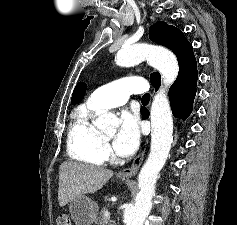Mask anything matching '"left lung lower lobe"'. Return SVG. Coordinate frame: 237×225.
<instances>
[{"instance_id": "obj_1", "label": "left lung lower lobe", "mask_w": 237, "mask_h": 225, "mask_svg": "<svg viewBox=\"0 0 237 225\" xmlns=\"http://www.w3.org/2000/svg\"><path fill=\"white\" fill-rule=\"evenodd\" d=\"M197 74L181 75L177 77L169 90V100L175 117L185 120L192 112L196 95ZM158 86H156L157 88ZM143 118H148L149 111L142 109Z\"/></svg>"}]
</instances>
